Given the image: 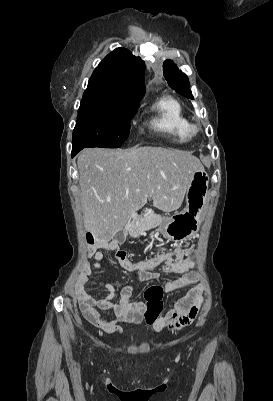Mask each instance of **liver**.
Instances as JSON below:
<instances>
[{"instance_id":"obj_1","label":"liver","mask_w":273,"mask_h":401,"mask_svg":"<svg viewBox=\"0 0 273 401\" xmlns=\"http://www.w3.org/2000/svg\"><path fill=\"white\" fill-rule=\"evenodd\" d=\"M77 164L84 227L96 243L114 239L148 198L164 213L177 211L194 170L203 168L192 152L162 146L84 148Z\"/></svg>"}]
</instances>
